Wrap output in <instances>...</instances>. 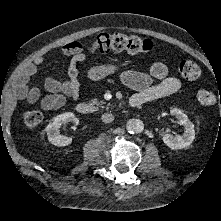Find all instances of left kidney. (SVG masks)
Listing matches in <instances>:
<instances>
[{"label": "left kidney", "mask_w": 221, "mask_h": 221, "mask_svg": "<svg viewBox=\"0 0 221 221\" xmlns=\"http://www.w3.org/2000/svg\"><path fill=\"white\" fill-rule=\"evenodd\" d=\"M171 114L178 120V124L184 126L183 135L164 134L163 142L171 149H183L188 147L195 139L194 124L188 119L187 115L180 109L173 108Z\"/></svg>", "instance_id": "obj_1"}]
</instances>
